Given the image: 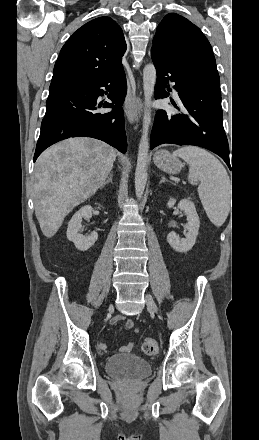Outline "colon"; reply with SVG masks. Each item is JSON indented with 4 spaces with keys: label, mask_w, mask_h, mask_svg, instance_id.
I'll use <instances>...</instances> for the list:
<instances>
[{
    "label": "colon",
    "mask_w": 259,
    "mask_h": 440,
    "mask_svg": "<svg viewBox=\"0 0 259 440\" xmlns=\"http://www.w3.org/2000/svg\"><path fill=\"white\" fill-rule=\"evenodd\" d=\"M141 349L147 355H155L159 350V344L153 338H146L142 343Z\"/></svg>",
    "instance_id": "colon-1"
}]
</instances>
